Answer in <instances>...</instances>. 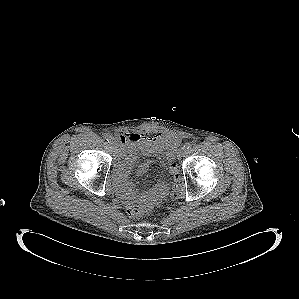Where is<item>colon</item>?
Returning a JSON list of instances; mask_svg holds the SVG:
<instances>
[{
	"label": "colon",
	"instance_id": "colon-1",
	"mask_svg": "<svg viewBox=\"0 0 299 299\" xmlns=\"http://www.w3.org/2000/svg\"><path fill=\"white\" fill-rule=\"evenodd\" d=\"M169 170L171 174L174 176V185L171 190V197L176 199L181 195L182 191V184L180 180V175H179V168L175 162H173L169 166ZM127 213L130 217L132 218H140L143 217L147 214V211L140 205H129L127 207Z\"/></svg>",
	"mask_w": 299,
	"mask_h": 299
}]
</instances>
